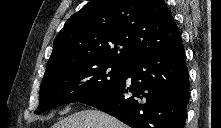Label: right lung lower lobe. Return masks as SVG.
Masks as SVG:
<instances>
[{
	"label": "right lung lower lobe",
	"instance_id": "1",
	"mask_svg": "<svg viewBox=\"0 0 221 128\" xmlns=\"http://www.w3.org/2000/svg\"><path fill=\"white\" fill-rule=\"evenodd\" d=\"M128 77L132 78L131 83L126 81ZM189 90L181 42L131 60L117 85L81 103L104 111L132 128H184Z\"/></svg>",
	"mask_w": 221,
	"mask_h": 128
}]
</instances>
